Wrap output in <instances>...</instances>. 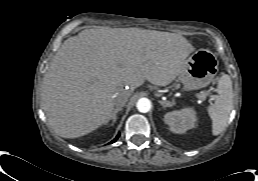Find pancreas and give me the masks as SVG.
Instances as JSON below:
<instances>
[{
    "label": "pancreas",
    "mask_w": 258,
    "mask_h": 181,
    "mask_svg": "<svg viewBox=\"0 0 258 181\" xmlns=\"http://www.w3.org/2000/svg\"><path fill=\"white\" fill-rule=\"evenodd\" d=\"M198 97H199L201 100H205L206 95H205V94H201V95H198Z\"/></svg>",
    "instance_id": "cf45deb5"
}]
</instances>
